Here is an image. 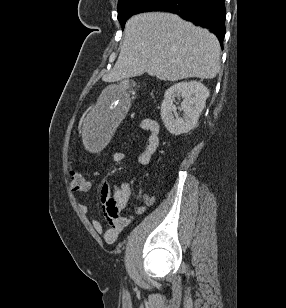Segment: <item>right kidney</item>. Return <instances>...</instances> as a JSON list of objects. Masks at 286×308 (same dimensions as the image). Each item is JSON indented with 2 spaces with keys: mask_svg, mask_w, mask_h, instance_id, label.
<instances>
[{
  "mask_svg": "<svg viewBox=\"0 0 286 308\" xmlns=\"http://www.w3.org/2000/svg\"><path fill=\"white\" fill-rule=\"evenodd\" d=\"M208 96L209 90L198 81L180 82L168 88L161 105V118L168 132L177 136L192 130L197 125ZM176 97L183 98V118L174 116Z\"/></svg>",
  "mask_w": 286,
  "mask_h": 308,
  "instance_id": "right-kidney-1",
  "label": "right kidney"
}]
</instances>
